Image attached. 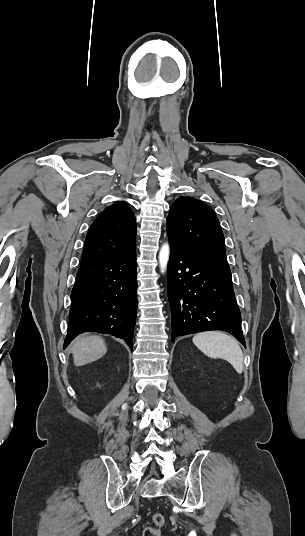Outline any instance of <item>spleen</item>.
Instances as JSON below:
<instances>
[{"label":"spleen","instance_id":"obj_1","mask_svg":"<svg viewBox=\"0 0 305 536\" xmlns=\"http://www.w3.org/2000/svg\"><path fill=\"white\" fill-rule=\"evenodd\" d=\"M197 346L208 358H221L227 360L238 374L243 372L242 350L234 338L222 332H201L193 338Z\"/></svg>","mask_w":305,"mask_h":536}]
</instances>
